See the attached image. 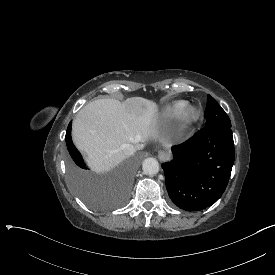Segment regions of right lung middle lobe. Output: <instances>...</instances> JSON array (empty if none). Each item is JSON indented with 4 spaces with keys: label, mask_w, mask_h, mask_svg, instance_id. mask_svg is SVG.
I'll use <instances>...</instances> for the list:
<instances>
[{
    "label": "right lung middle lobe",
    "mask_w": 275,
    "mask_h": 275,
    "mask_svg": "<svg viewBox=\"0 0 275 275\" xmlns=\"http://www.w3.org/2000/svg\"><path fill=\"white\" fill-rule=\"evenodd\" d=\"M66 145L70 185L88 208L98 211H106L125 202L137 173L139 161L148 156V151L141 149L132 154L130 164L127 160H114L113 166L118 168L113 172L91 169L72 142L71 122L66 132Z\"/></svg>",
    "instance_id": "obj_1"
}]
</instances>
